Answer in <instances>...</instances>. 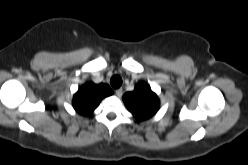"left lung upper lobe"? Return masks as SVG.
Returning <instances> with one entry per match:
<instances>
[{"mask_svg":"<svg viewBox=\"0 0 248 165\" xmlns=\"http://www.w3.org/2000/svg\"><path fill=\"white\" fill-rule=\"evenodd\" d=\"M128 110L138 120L152 117L159 109V99L144 82L136 84L134 91L123 95Z\"/></svg>","mask_w":248,"mask_h":165,"instance_id":"left-lung-upper-lobe-1","label":"left lung upper lobe"}]
</instances>
